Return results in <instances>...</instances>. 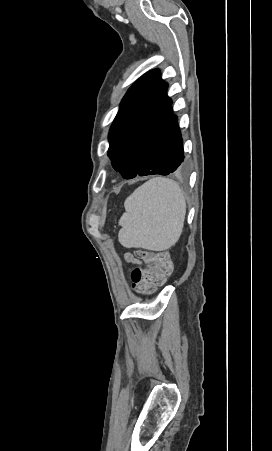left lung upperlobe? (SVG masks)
<instances>
[{
    "label": "left lung upper lobe",
    "instance_id": "obj_1",
    "mask_svg": "<svg viewBox=\"0 0 272 451\" xmlns=\"http://www.w3.org/2000/svg\"><path fill=\"white\" fill-rule=\"evenodd\" d=\"M168 84L158 69L140 77L128 90L109 133L108 156L123 178H134L146 155L150 140L171 105Z\"/></svg>",
    "mask_w": 272,
    "mask_h": 451
}]
</instances>
